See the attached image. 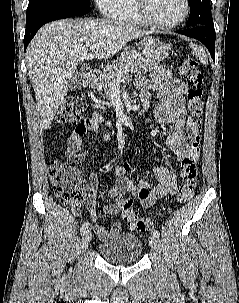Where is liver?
<instances>
[{"label":"liver","instance_id":"liver-1","mask_svg":"<svg viewBox=\"0 0 239 303\" xmlns=\"http://www.w3.org/2000/svg\"><path fill=\"white\" fill-rule=\"evenodd\" d=\"M145 35L148 32L110 19L59 20L44 25L26 51L42 129L51 125L79 62L113 57L127 42ZM93 45L97 48L88 54Z\"/></svg>","mask_w":239,"mask_h":303}]
</instances>
